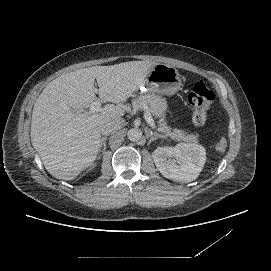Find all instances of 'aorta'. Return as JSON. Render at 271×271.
I'll return each mask as SVG.
<instances>
[{
	"mask_svg": "<svg viewBox=\"0 0 271 271\" xmlns=\"http://www.w3.org/2000/svg\"><path fill=\"white\" fill-rule=\"evenodd\" d=\"M127 137L132 142H138L142 138V131L139 128H131L127 132Z\"/></svg>",
	"mask_w": 271,
	"mask_h": 271,
	"instance_id": "762f6f07",
	"label": "aorta"
}]
</instances>
